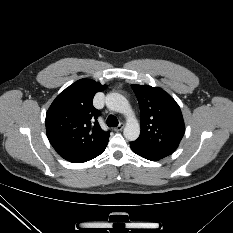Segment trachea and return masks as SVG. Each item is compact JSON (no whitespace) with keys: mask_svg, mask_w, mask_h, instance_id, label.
<instances>
[{"mask_svg":"<svg viewBox=\"0 0 233 233\" xmlns=\"http://www.w3.org/2000/svg\"><path fill=\"white\" fill-rule=\"evenodd\" d=\"M106 122L109 127H116L118 125V119L114 115H109Z\"/></svg>","mask_w":233,"mask_h":233,"instance_id":"obj_1","label":"trachea"}]
</instances>
